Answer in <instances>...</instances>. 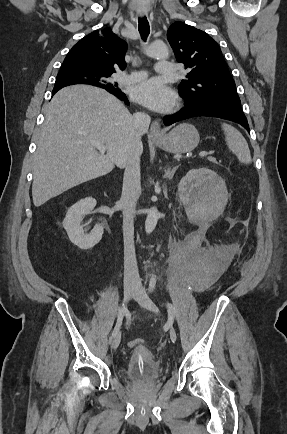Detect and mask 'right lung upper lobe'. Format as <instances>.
I'll list each match as a JSON object with an SVG mask.
<instances>
[{"instance_id":"obj_1","label":"right lung upper lobe","mask_w":287,"mask_h":434,"mask_svg":"<svg viewBox=\"0 0 287 434\" xmlns=\"http://www.w3.org/2000/svg\"><path fill=\"white\" fill-rule=\"evenodd\" d=\"M126 49V42L110 28L96 30L72 47L61 69H80L112 75L117 69L125 68L123 57ZM71 84L73 83L55 84L53 91Z\"/></svg>"}]
</instances>
